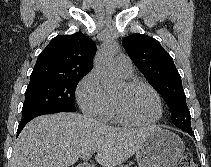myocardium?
<instances>
[{
  "instance_id": "obj_1",
  "label": "myocardium",
  "mask_w": 211,
  "mask_h": 167,
  "mask_svg": "<svg viewBox=\"0 0 211 167\" xmlns=\"http://www.w3.org/2000/svg\"><path fill=\"white\" fill-rule=\"evenodd\" d=\"M125 86L128 89H135V88L143 87V88H147L148 90H150L154 94V96H155V98L157 100L159 112H158L157 117L154 120H152L150 122H139V121L131 118L129 115H127L122 110V108L119 106L117 101L114 98H112V106H113V110H114L116 116L124 124L131 125V126L151 127V126L157 124L161 120V118L163 116V112H164L163 103H162L161 96L158 93V91L152 85H150V84H148L146 82L140 81V80H135V79L127 80L125 82Z\"/></svg>"
}]
</instances>
